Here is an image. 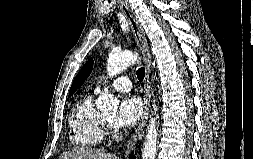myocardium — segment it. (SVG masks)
<instances>
[{
	"label": "myocardium",
	"instance_id": "obj_1",
	"mask_svg": "<svg viewBox=\"0 0 253 159\" xmlns=\"http://www.w3.org/2000/svg\"><path fill=\"white\" fill-rule=\"evenodd\" d=\"M103 121H104V128L105 129H108L110 128V121L106 118H103Z\"/></svg>",
	"mask_w": 253,
	"mask_h": 159
}]
</instances>
